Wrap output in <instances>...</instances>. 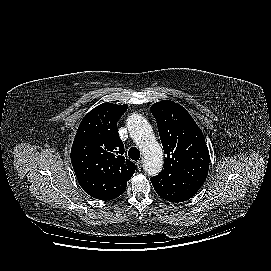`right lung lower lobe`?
I'll return each mask as SVG.
<instances>
[{
    "mask_svg": "<svg viewBox=\"0 0 271 271\" xmlns=\"http://www.w3.org/2000/svg\"><path fill=\"white\" fill-rule=\"evenodd\" d=\"M80 186L90 196L100 200H111L125 192L126 186L112 180L77 178Z\"/></svg>",
    "mask_w": 271,
    "mask_h": 271,
    "instance_id": "98d812e1",
    "label": "right lung lower lobe"
}]
</instances>
